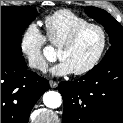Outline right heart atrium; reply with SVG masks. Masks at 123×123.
Segmentation results:
<instances>
[{
	"label": "right heart atrium",
	"mask_w": 123,
	"mask_h": 123,
	"mask_svg": "<svg viewBox=\"0 0 123 123\" xmlns=\"http://www.w3.org/2000/svg\"><path fill=\"white\" fill-rule=\"evenodd\" d=\"M46 38L35 23H29L21 33L19 47L29 67L44 71L47 59L44 54Z\"/></svg>",
	"instance_id": "d8ad5b80"
}]
</instances>
